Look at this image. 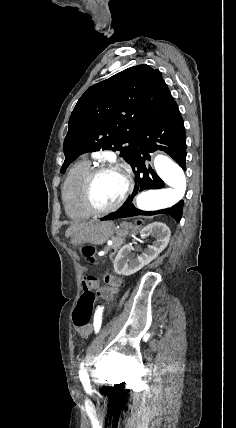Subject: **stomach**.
<instances>
[{
    "mask_svg": "<svg viewBox=\"0 0 236 428\" xmlns=\"http://www.w3.org/2000/svg\"><path fill=\"white\" fill-rule=\"evenodd\" d=\"M113 234V226L111 222H88L84 228H82L80 234L72 236L71 242L75 246H81V244H104L106 240H109Z\"/></svg>",
    "mask_w": 236,
    "mask_h": 428,
    "instance_id": "1",
    "label": "stomach"
}]
</instances>
